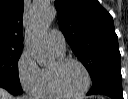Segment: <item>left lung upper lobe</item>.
Listing matches in <instances>:
<instances>
[{"label": "left lung upper lobe", "instance_id": "5c2ea615", "mask_svg": "<svg viewBox=\"0 0 128 99\" xmlns=\"http://www.w3.org/2000/svg\"><path fill=\"white\" fill-rule=\"evenodd\" d=\"M55 7L62 33L92 80L105 68H121L113 18L98 0H56Z\"/></svg>", "mask_w": 128, "mask_h": 99}]
</instances>
